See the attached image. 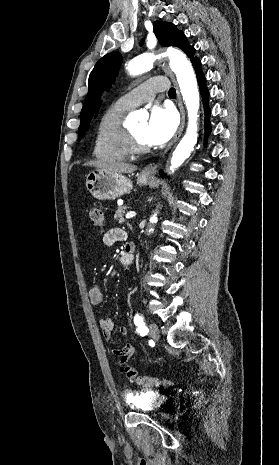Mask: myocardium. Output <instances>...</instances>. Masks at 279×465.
Instances as JSON below:
<instances>
[{"instance_id": "f54148a6", "label": "myocardium", "mask_w": 279, "mask_h": 465, "mask_svg": "<svg viewBox=\"0 0 279 465\" xmlns=\"http://www.w3.org/2000/svg\"><path fill=\"white\" fill-rule=\"evenodd\" d=\"M126 147L129 154L143 155L150 152V146L141 145L130 128L126 129Z\"/></svg>"}]
</instances>
